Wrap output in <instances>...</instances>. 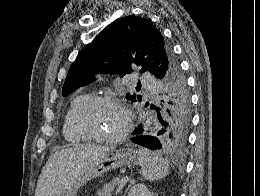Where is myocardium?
Instances as JSON below:
<instances>
[{
  "instance_id": "1",
  "label": "myocardium",
  "mask_w": 260,
  "mask_h": 196,
  "mask_svg": "<svg viewBox=\"0 0 260 196\" xmlns=\"http://www.w3.org/2000/svg\"><path fill=\"white\" fill-rule=\"evenodd\" d=\"M102 104H115L122 108L125 116V122L122 129L116 134H98L91 130L87 124V117L100 105ZM76 124L79 131L88 139L97 142H120L126 138L129 134L130 129L133 124L132 112L127 104V102L114 95H99L94 96L85 106L79 111Z\"/></svg>"
}]
</instances>
